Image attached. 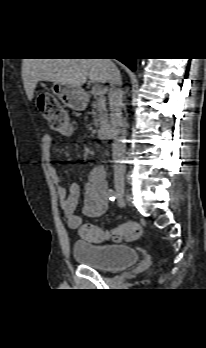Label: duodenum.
<instances>
[{"label":"duodenum","instance_id":"410a0bca","mask_svg":"<svg viewBox=\"0 0 206 348\" xmlns=\"http://www.w3.org/2000/svg\"><path fill=\"white\" fill-rule=\"evenodd\" d=\"M113 127L110 124H104L101 126L98 136L102 139H108L112 136Z\"/></svg>","mask_w":206,"mask_h":348}]
</instances>
